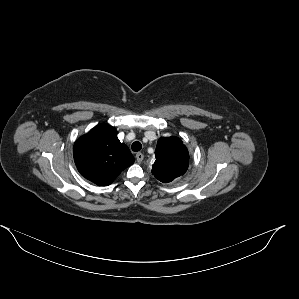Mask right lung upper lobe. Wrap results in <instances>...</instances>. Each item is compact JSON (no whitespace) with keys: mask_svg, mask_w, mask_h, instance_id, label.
Returning <instances> with one entry per match:
<instances>
[{"mask_svg":"<svg viewBox=\"0 0 299 299\" xmlns=\"http://www.w3.org/2000/svg\"><path fill=\"white\" fill-rule=\"evenodd\" d=\"M78 171L86 179L107 186L134 163L129 148L117 138L116 129L109 125L93 128L80 137L73 148Z\"/></svg>","mask_w":299,"mask_h":299,"instance_id":"right-lung-upper-lobe-1","label":"right lung upper lobe"}]
</instances>
